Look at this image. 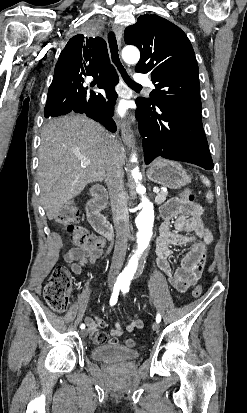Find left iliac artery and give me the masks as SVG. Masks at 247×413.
<instances>
[{"label":"left iliac artery","mask_w":247,"mask_h":413,"mask_svg":"<svg viewBox=\"0 0 247 413\" xmlns=\"http://www.w3.org/2000/svg\"><path fill=\"white\" fill-rule=\"evenodd\" d=\"M121 291L123 294H126L129 291V284H124L121 286ZM161 321V315L159 313H157L156 315V322H160Z\"/></svg>","instance_id":"1"}]
</instances>
